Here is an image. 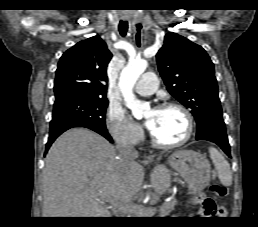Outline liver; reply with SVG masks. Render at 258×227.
<instances>
[{"instance_id":"obj_1","label":"liver","mask_w":258,"mask_h":227,"mask_svg":"<svg viewBox=\"0 0 258 227\" xmlns=\"http://www.w3.org/2000/svg\"><path fill=\"white\" fill-rule=\"evenodd\" d=\"M143 179V166L122 161L105 138L85 128H72L52 144L46 156L42 215L105 217L104 203L130 201ZM150 182L155 192L164 194L171 185L169 170L156 166Z\"/></svg>"}]
</instances>
